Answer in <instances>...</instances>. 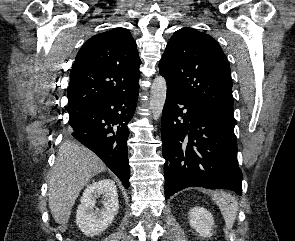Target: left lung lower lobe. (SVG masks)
I'll list each match as a JSON object with an SVG mask.
<instances>
[{
  "instance_id": "obj_1",
  "label": "left lung lower lobe",
  "mask_w": 295,
  "mask_h": 241,
  "mask_svg": "<svg viewBox=\"0 0 295 241\" xmlns=\"http://www.w3.org/2000/svg\"><path fill=\"white\" fill-rule=\"evenodd\" d=\"M234 126L167 88L161 126L167 198L191 186L242 195Z\"/></svg>"
}]
</instances>
